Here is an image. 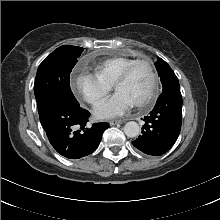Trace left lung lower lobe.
<instances>
[{
    "instance_id": "1",
    "label": "left lung lower lobe",
    "mask_w": 220,
    "mask_h": 220,
    "mask_svg": "<svg viewBox=\"0 0 220 220\" xmlns=\"http://www.w3.org/2000/svg\"><path fill=\"white\" fill-rule=\"evenodd\" d=\"M182 96L180 88L163 91L148 116L142 135L132 144L148 155H163L176 142L181 130Z\"/></svg>"
}]
</instances>
